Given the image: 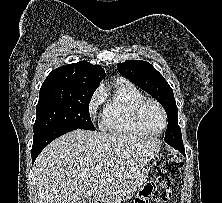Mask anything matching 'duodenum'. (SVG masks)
<instances>
[{
    "mask_svg": "<svg viewBox=\"0 0 222 203\" xmlns=\"http://www.w3.org/2000/svg\"><path fill=\"white\" fill-rule=\"evenodd\" d=\"M102 199H103V195H102V194H99V195H98V203H101Z\"/></svg>",
    "mask_w": 222,
    "mask_h": 203,
    "instance_id": "1",
    "label": "duodenum"
}]
</instances>
